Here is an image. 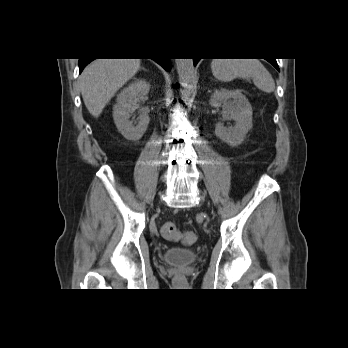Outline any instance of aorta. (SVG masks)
<instances>
[{"label":"aorta","instance_id":"aorta-1","mask_svg":"<svg viewBox=\"0 0 348 348\" xmlns=\"http://www.w3.org/2000/svg\"><path fill=\"white\" fill-rule=\"evenodd\" d=\"M176 68L181 86V97L185 100L192 95L193 86L196 80V73L193 65V59H175Z\"/></svg>","mask_w":348,"mask_h":348}]
</instances>
